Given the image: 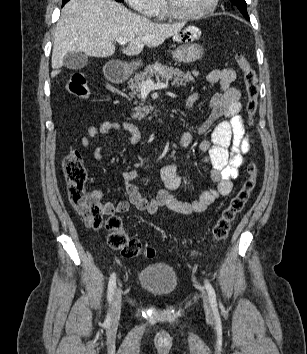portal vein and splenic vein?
<instances>
[{
	"instance_id": "obj_1",
	"label": "portal vein and splenic vein",
	"mask_w": 307,
	"mask_h": 354,
	"mask_svg": "<svg viewBox=\"0 0 307 354\" xmlns=\"http://www.w3.org/2000/svg\"><path fill=\"white\" fill-rule=\"evenodd\" d=\"M116 41L120 45L124 46L130 41V39H128V38H118ZM167 87H168V84H166V83H162V82L154 83L151 80H147L145 82H142L141 91L150 92V91L155 90V89H165Z\"/></svg>"
}]
</instances>
